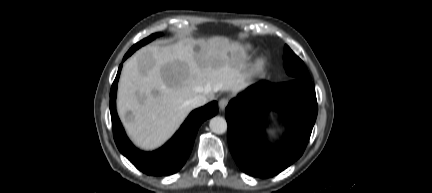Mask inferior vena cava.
<instances>
[{"instance_id": "602c4592", "label": "inferior vena cava", "mask_w": 432, "mask_h": 193, "mask_svg": "<svg viewBox=\"0 0 432 193\" xmlns=\"http://www.w3.org/2000/svg\"><path fill=\"white\" fill-rule=\"evenodd\" d=\"M209 100H210V98L208 96H206L204 94H198L189 101V105L192 108H197V107H200V106L206 104Z\"/></svg>"}]
</instances>
